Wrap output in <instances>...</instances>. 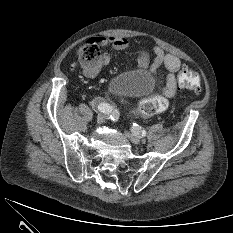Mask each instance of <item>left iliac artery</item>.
Masks as SVG:
<instances>
[{"instance_id":"44dca946","label":"left iliac artery","mask_w":233,"mask_h":233,"mask_svg":"<svg viewBox=\"0 0 233 233\" xmlns=\"http://www.w3.org/2000/svg\"><path fill=\"white\" fill-rule=\"evenodd\" d=\"M133 128L136 132H138L139 134H141L142 136H146V131L144 129H142L138 124L134 123L133 124Z\"/></svg>"}]
</instances>
